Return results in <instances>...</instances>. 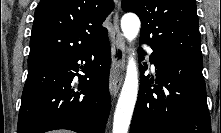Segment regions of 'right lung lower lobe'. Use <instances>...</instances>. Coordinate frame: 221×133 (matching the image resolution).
I'll list each match as a JSON object with an SVG mask.
<instances>
[{"instance_id": "right-lung-lower-lobe-1", "label": "right lung lower lobe", "mask_w": 221, "mask_h": 133, "mask_svg": "<svg viewBox=\"0 0 221 133\" xmlns=\"http://www.w3.org/2000/svg\"><path fill=\"white\" fill-rule=\"evenodd\" d=\"M110 58L106 35L79 53L28 63L17 133L55 129L104 133L110 112ZM80 60L86 64L80 65ZM80 69L85 76L77 73ZM76 75L78 91L73 83Z\"/></svg>"}]
</instances>
